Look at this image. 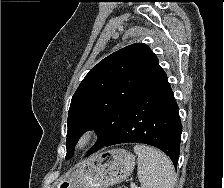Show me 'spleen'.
I'll return each mask as SVG.
<instances>
[{
	"instance_id": "3e777b00",
	"label": "spleen",
	"mask_w": 224,
	"mask_h": 188,
	"mask_svg": "<svg viewBox=\"0 0 224 188\" xmlns=\"http://www.w3.org/2000/svg\"><path fill=\"white\" fill-rule=\"evenodd\" d=\"M134 152L138 155L141 188H174V167L164 153L144 144H136Z\"/></svg>"
}]
</instances>
